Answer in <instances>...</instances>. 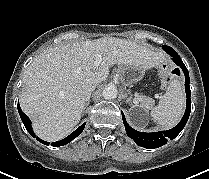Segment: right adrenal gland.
I'll list each match as a JSON object with an SVG mask.
<instances>
[{
  "instance_id": "right-adrenal-gland-1",
  "label": "right adrenal gland",
  "mask_w": 209,
  "mask_h": 179,
  "mask_svg": "<svg viewBox=\"0 0 209 179\" xmlns=\"http://www.w3.org/2000/svg\"><path fill=\"white\" fill-rule=\"evenodd\" d=\"M89 104H90V96H89V98H88L87 101H86L84 110L87 108V106H88Z\"/></svg>"
}]
</instances>
